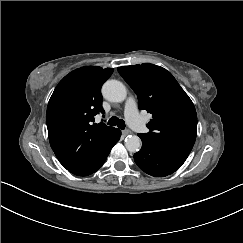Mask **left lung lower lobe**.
<instances>
[{
	"instance_id": "1",
	"label": "left lung lower lobe",
	"mask_w": 243,
	"mask_h": 243,
	"mask_svg": "<svg viewBox=\"0 0 243 243\" xmlns=\"http://www.w3.org/2000/svg\"><path fill=\"white\" fill-rule=\"evenodd\" d=\"M188 155L142 140V148L134 154V160L145 173L154 177H164L178 170Z\"/></svg>"
}]
</instances>
